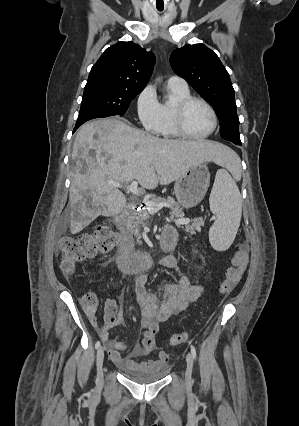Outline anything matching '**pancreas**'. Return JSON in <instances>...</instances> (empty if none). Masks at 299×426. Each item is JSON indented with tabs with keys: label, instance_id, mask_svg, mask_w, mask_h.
I'll return each mask as SVG.
<instances>
[{
	"label": "pancreas",
	"instance_id": "pancreas-1",
	"mask_svg": "<svg viewBox=\"0 0 299 426\" xmlns=\"http://www.w3.org/2000/svg\"><path fill=\"white\" fill-rule=\"evenodd\" d=\"M153 203H166L168 204V207L170 208V214L171 218L176 222L178 219H185L184 213L180 209V206L175 202V200L172 197H168L167 199L161 198V197H153L151 200ZM150 218V212L146 209H141L140 211L136 212L134 215L130 218V225H129V232H131L136 238L137 242L141 243V228L147 225L148 220ZM204 226V219L194 218L192 220L191 224H186L185 227L182 226V224H178V227H182L185 232L189 233L190 235L196 234V231L200 232L201 227Z\"/></svg>",
	"mask_w": 299,
	"mask_h": 426
}]
</instances>
